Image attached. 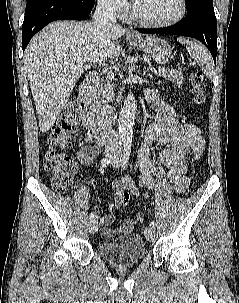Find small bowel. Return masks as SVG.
<instances>
[{
    "label": "small bowel",
    "mask_w": 239,
    "mask_h": 303,
    "mask_svg": "<svg viewBox=\"0 0 239 303\" xmlns=\"http://www.w3.org/2000/svg\"><path fill=\"white\" fill-rule=\"evenodd\" d=\"M153 107L158 112L157 121L150 125L146 131L144 141L138 151L141 176L139 185L134 184L129 177H124L113 183L115 191L114 206L119 208V195L123 190H129L138 194L142 187L152 189L155 186L153 174L157 168L150 159V146L157 143L163 147L160 159L167 167V180L172 184L176 193L184 192L191 181L194 166L201 158L205 150V140L199 129L191 124L181 122L174 111L156 96L150 97ZM87 143L77 151L79 162L91 166L95 157L99 154L104 139L96 137L91 133L84 135ZM192 157L191 167L187 164V155ZM101 236L110 240L120 233H129L134 223L126 220L116 228H111L112 218L109 215L100 217Z\"/></svg>",
    "instance_id": "obj_1"
}]
</instances>
